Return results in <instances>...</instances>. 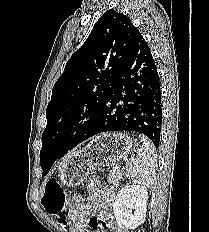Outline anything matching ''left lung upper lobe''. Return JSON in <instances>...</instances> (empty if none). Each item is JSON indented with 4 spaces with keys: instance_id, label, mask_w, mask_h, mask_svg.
<instances>
[{
    "instance_id": "1",
    "label": "left lung upper lobe",
    "mask_w": 209,
    "mask_h": 232,
    "mask_svg": "<svg viewBox=\"0 0 209 232\" xmlns=\"http://www.w3.org/2000/svg\"><path fill=\"white\" fill-rule=\"evenodd\" d=\"M142 37L129 18L113 9L95 23L87 40L66 63L52 89L42 134L43 176L55 159L77 146L111 94L116 77Z\"/></svg>"
}]
</instances>
